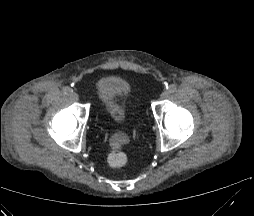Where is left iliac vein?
Listing matches in <instances>:
<instances>
[{
	"instance_id": "obj_1",
	"label": "left iliac vein",
	"mask_w": 254,
	"mask_h": 216,
	"mask_svg": "<svg viewBox=\"0 0 254 216\" xmlns=\"http://www.w3.org/2000/svg\"><path fill=\"white\" fill-rule=\"evenodd\" d=\"M169 97V92L168 91H163L162 94L160 95V98L167 99Z\"/></svg>"
}]
</instances>
